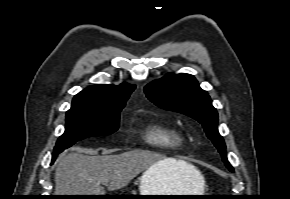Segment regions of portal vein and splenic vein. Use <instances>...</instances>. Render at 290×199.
<instances>
[{"label": "portal vein and splenic vein", "mask_w": 290, "mask_h": 199, "mask_svg": "<svg viewBox=\"0 0 290 199\" xmlns=\"http://www.w3.org/2000/svg\"><path fill=\"white\" fill-rule=\"evenodd\" d=\"M107 183H108V182L106 181V182L104 183V185H107Z\"/></svg>", "instance_id": "obj_1"}]
</instances>
